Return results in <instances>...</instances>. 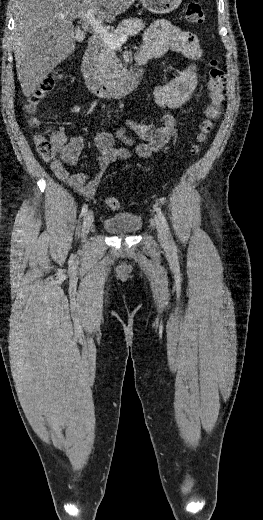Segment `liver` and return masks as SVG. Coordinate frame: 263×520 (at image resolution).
Segmentation results:
<instances>
[{"mask_svg": "<svg viewBox=\"0 0 263 520\" xmlns=\"http://www.w3.org/2000/svg\"><path fill=\"white\" fill-rule=\"evenodd\" d=\"M135 0H18L14 55L24 96L75 50L73 19L96 9L99 20L115 21ZM60 15H65L61 18Z\"/></svg>", "mask_w": 263, "mask_h": 520, "instance_id": "1", "label": "liver"}]
</instances>
